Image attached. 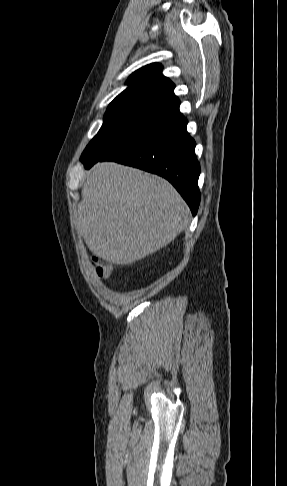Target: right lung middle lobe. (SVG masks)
<instances>
[{
	"label": "right lung middle lobe",
	"mask_w": 287,
	"mask_h": 486,
	"mask_svg": "<svg viewBox=\"0 0 287 486\" xmlns=\"http://www.w3.org/2000/svg\"><path fill=\"white\" fill-rule=\"evenodd\" d=\"M171 114V111L151 106H109L101 129L81 156L82 163L86 167L97 162L140 137Z\"/></svg>",
	"instance_id": "1"
}]
</instances>
